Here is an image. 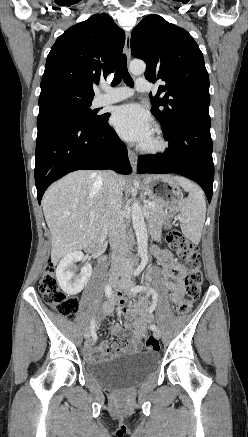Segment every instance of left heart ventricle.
<instances>
[{
	"label": "left heart ventricle",
	"instance_id": "obj_1",
	"mask_svg": "<svg viewBox=\"0 0 248 437\" xmlns=\"http://www.w3.org/2000/svg\"><path fill=\"white\" fill-rule=\"evenodd\" d=\"M144 143H146V144L153 143V134Z\"/></svg>",
	"mask_w": 248,
	"mask_h": 437
}]
</instances>
